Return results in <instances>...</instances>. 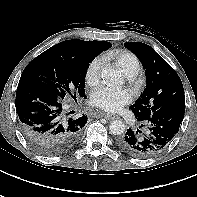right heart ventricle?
Listing matches in <instances>:
<instances>
[{"instance_id": "e07e8e85", "label": "right heart ventricle", "mask_w": 197, "mask_h": 197, "mask_svg": "<svg viewBox=\"0 0 197 197\" xmlns=\"http://www.w3.org/2000/svg\"><path fill=\"white\" fill-rule=\"evenodd\" d=\"M117 64V66L128 76H135L141 69V62L139 58L126 50H117L109 54Z\"/></svg>"}]
</instances>
